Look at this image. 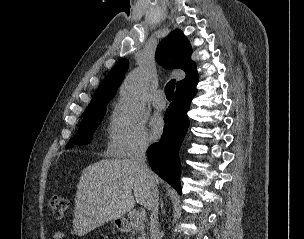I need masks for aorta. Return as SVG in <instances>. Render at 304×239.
I'll use <instances>...</instances> for the list:
<instances>
[{"label": "aorta", "mask_w": 304, "mask_h": 239, "mask_svg": "<svg viewBox=\"0 0 304 239\" xmlns=\"http://www.w3.org/2000/svg\"><path fill=\"white\" fill-rule=\"evenodd\" d=\"M148 76L144 71L129 75L120 90V102L129 110L141 112L145 108Z\"/></svg>", "instance_id": "obj_1"}]
</instances>
